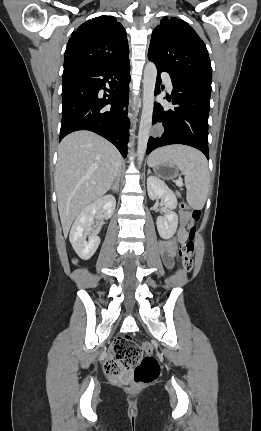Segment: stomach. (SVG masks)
<instances>
[{"label":"stomach","instance_id":"obj_1","mask_svg":"<svg viewBox=\"0 0 261 431\" xmlns=\"http://www.w3.org/2000/svg\"><path fill=\"white\" fill-rule=\"evenodd\" d=\"M155 173L163 179H173L178 174L177 166L162 162L153 166Z\"/></svg>","mask_w":261,"mask_h":431}]
</instances>
